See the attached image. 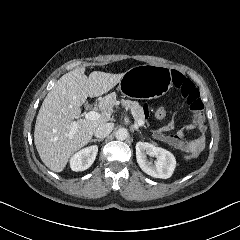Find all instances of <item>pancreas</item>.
Returning <instances> with one entry per match:
<instances>
[{
	"label": "pancreas",
	"mask_w": 240,
	"mask_h": 240,
	"mask_svg": "<svg viewBox=\"0 0 240 240\" xmlns=\"http://www.w3.org/2000/svg\"><path fill=\"white\" fill-rule=\"evenodd\" d=\"M114 96H115L114 94L109 95V96H107V98L111 99L112 102L114 103L115 102V97ZM121 104H122L123 107L131 109L134 112V114H135L134 118H135L136 121L144 120L143 109L137 101L122 100Z\"/></svg>",
	"instance_id": "pancreas-1"
}]
</instances>
